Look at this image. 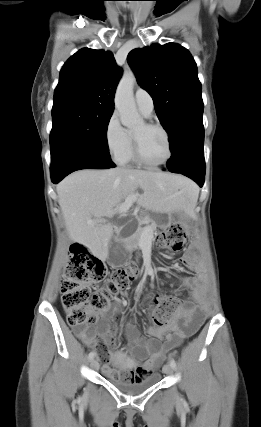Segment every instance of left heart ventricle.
Listing matches in <instances>:
<instances>
[{"label":"left heart ventricle","mask_w":261,"mask_h":427,"mask_svg":"<svg viewBox=\"0 0 261 427\" xmlns=\"http://www.w3.org/2000/svg\"><path fill=\"white\" fill-rule=\"evenodd\" d=\"M137 136L142 156L150 163H160L168 155L164 134L158 129L147 128L144 123L133 130Z\"/></svg>","instance_id":"1"}]
</instances>
